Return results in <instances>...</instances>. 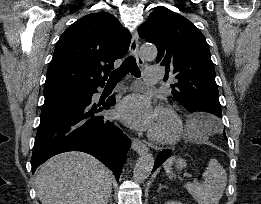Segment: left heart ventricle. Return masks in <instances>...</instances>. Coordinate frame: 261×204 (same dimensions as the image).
<instances>
[{"instance_id":"obj_1","label":"left heart ventricle","mask_w":261,"mask_h":204,"mask_svg":"<svg viewBox=\"0 0 261 204\" xmlns=\"http://www.w3.org/2000/svg\"><path fill=\"white\" fill-rule=\"evenodd\" d=\"M171 129L172 123L170 119L162 113H157L155 123L151 130L157 134H166L170 132Z\"/></svg>"}]
</instances>
